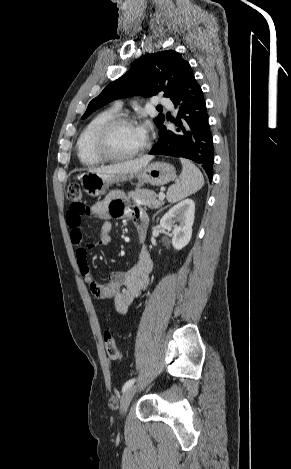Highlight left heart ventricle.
<instances>
[{"instance_id": "b2bd125f", "label": "left heart ventricle", "mask_w": 291, "mask_h": 469, "mask_svg": "<svg viewBox=\"0 0 291 469\" xmlns=\"http://www.w3.org/2000/svg\"><path fill=\"white\" fill-rule=\"evenodd\" d=\"M145 141L136 125L121 124L112 133L111 148L117 154H128L141 148Z\"/></svg>"}]
</instances>
